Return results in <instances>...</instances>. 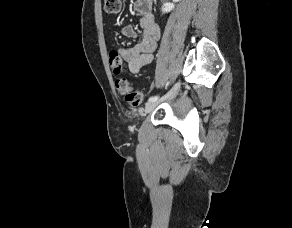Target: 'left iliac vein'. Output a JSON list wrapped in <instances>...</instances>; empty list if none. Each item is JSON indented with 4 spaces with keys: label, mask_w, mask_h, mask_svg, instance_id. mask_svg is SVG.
I'll return each instance as SVG.
<instances>
[{
    "label": "left iliac vein",
    "mask_w": 292,
    "mask_h": 228,
    "mask_svg": "<svg viewBox=\"0 0 292 228\" xmlns=\"http://www.w3.org/2000/svg\"><path fill=\"white\" fill-rule=\"evenodd\" d=\"M179 88H180V82L176 83L173 86V88L168 92V94L166 96H164L162 99L154 101V102H148L145 105L144 113H149V112L153 111L160 103L173 99L176 96V94L178 93Z\"/></svg>",
    "instance_id": "left-iliac-vein-1"
}]
</instances>
